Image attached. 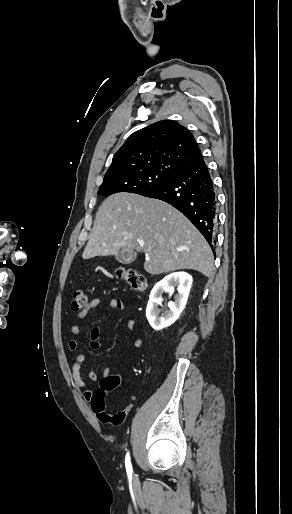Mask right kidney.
Wrapping results in <instances>:
<instances>
[{"instance_id": "obj_1", "label": "right kidney", "mask_w": 292, "mask_h": 514, "mask_svg": "<svg viewBox=\"0 0 292 514\" xmlns=\"http://www.w3.org/2000/svg\"><path fill=\"white\" fill-rule=\"evenodd\" d=\"M192 282L190 274L174 272V274L165 276L163 280L155 284L146 308V318L154 330H163V328H168V326L176 322L186 306ZM174 286H178L175 302H168L170 310L165 312L164 316H159L161 310L157 306L163 302L162 294L163 292H169L171 296L174 292Z\"/></svg>"}]
</instances>
